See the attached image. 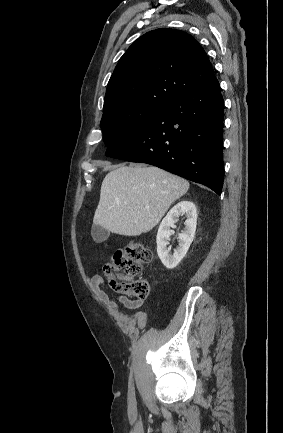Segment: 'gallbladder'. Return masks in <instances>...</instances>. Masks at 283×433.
I'll use <instances>...</instances> for the list:
<instances>
[{"mask_svg":"<svg viewBox=\"0 0 283 433\" xmlns=\"http://www.w3.org/2000/svg\"><path fill=\"white\" fill-rule=\"evenodd\" d=\"M91 235L95 241V243H103L108 239L110 233L103 229V227H99V225H92Z\"/></svg>","mask_w":283,"mask_h":433,"instance_id":"gallbladder-1","label":"gallbladder"}]
</instances>
